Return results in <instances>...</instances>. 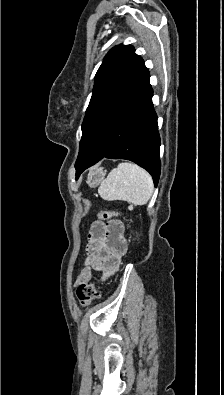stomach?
<instances>
[{
    "instance_id": "stomach-1",
    "label": "stomach",
    "mask_w": 224,
    "mask_h": 395,
    "mask_svg": "<svg viewBox=\"0 0 224 395\" xmlns=\"http://www.w3.org/2000/svg\"><path fill=\"white\" fill-rule=\"evenodd\" d=\"M105 171L102 168H93L90 170L87 177V184L94 188L99 185L104 179Z\"/></svg>"
}]
</instances>
